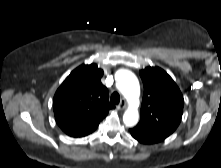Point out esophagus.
Segmentation results:
<instances>
[{"label":"esophagus","instance_id":"34e87169","mask_svg":"<svg viewBox=\"0 0 221 168\" xmlns=\"http://www.w3.org/2000/svg\"><path fill=\"white\" fill-rule=\"evenodd\" d=\"M126 108V101L125 99H122L118 105L119 110H124Z\"/></svg>","mask_w":221,"mask_h":168}]
</instances>
